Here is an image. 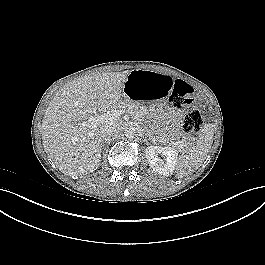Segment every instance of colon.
I'll use <instances>...</instances> for the list:
<instances>
[{
  "instance_id": "obj_1",
  "label": "colon",
  "mask_w": 265,
  "mask_h": 265,
  "mask_svg": "<svg viewBox=\"0 0 265 265\" xmlns=\"http://www.w3.org/2000/svg\"><path fill=\"white\" fill-rule=\"evenodd\" d=\"M170 101L176 107L185 105L194 106L197 104L193 88L182 80H175L173 82ZM202 125L203 117L201 112L193 110L184 117L182 129L186 134H196L200 132Z\"/></svg>"
}]
</instances>
